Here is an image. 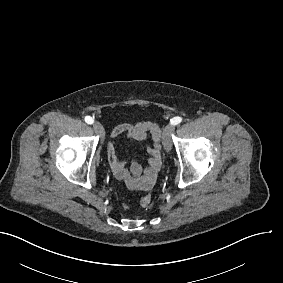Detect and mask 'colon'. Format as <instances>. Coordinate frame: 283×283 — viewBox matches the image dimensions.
<instances>
[{
	"mask_svg": "<svg viewBox=\"0 0 283 283\" xmlns=\"http://www.w3.org/2000/svg\"><path fill=\"white\" fill-rule=\"evenodd\" d=\"M152 186H153V180L150 179V181L147 183V187H146L147 193L144 194L139 199V205L143 208L148 207L152 202V193H151Z\"/></svg>",
	"mask_w": 283,
	"mask_h": 283,
	"instance_id": "colon-1",
	"label": "colon"
}]
</instances>
